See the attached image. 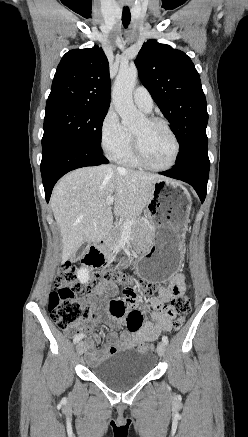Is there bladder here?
<instances>
[{"mask_svg": "<svg viewBox=\"0 0 248 437\" xmlns=\"http://www.w3.org/2000/svg\"><path fill=\"white\" fill-rule=\"evenodd\" d=\"M154 362L150 353L125 350L106 358L92 369V373L107 386L122 391L146 377Z\"/></svg>", "mask_w": 248, "mask_h": 437, "instance_id": "1", "label": "bladder"}]
</instances>
